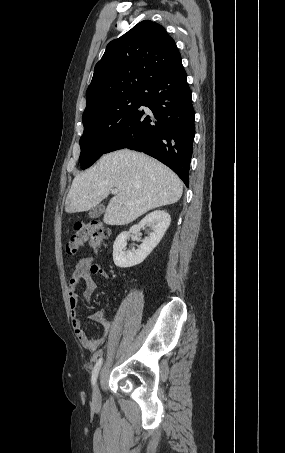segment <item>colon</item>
<instances>
[{"label": "colon", "mask_w": 285, "mask_h": 453, "mask_svg": "<svg viewBox=\"0 0 285 453\" xmlns=\"http://www.w3.org/2000/svg\"><path fill=\"white\" fill-rule=\"evenodd\" d=\"M108 235V229L100 221L78 223L70 235L66 250L68 254H76L85 245L97 250Z\"/></svg>", "instance_id": "colon-1"}]
</instances>
